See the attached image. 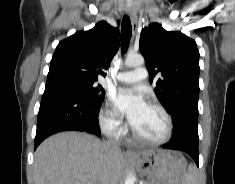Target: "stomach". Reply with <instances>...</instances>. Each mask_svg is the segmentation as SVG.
<instances>
[{
    "label": "stomach",
    "instance_id": "obj_1",
    "mask_svg": "<svg viewBox=\"0 0 235 184\" xmlns=\"http://www.w3.org/2000/svg\"><path fill=\"white\" fill-rule=\"evenodd\" d=\"M147 184H182L187 162L175 150H156L151 154H136L133 160Z\"/></svg>",
    "mask_w": 235,
    "mask_h": 184
}]
</instances>
